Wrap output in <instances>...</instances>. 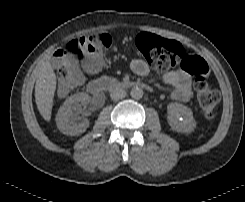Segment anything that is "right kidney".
Segmentation results:
<instances>
[{"mask_svg":"<svg viewBox=\"0 0 245 202\" xmlns=\"http://www.w3.org/2000/svg\"><path fill=\"white\" fill-rule=\"evenodd\" d=\"M90 96L81 92L68 97L56 115L58 129L65 135L78 136L89 127L86 118L78 116L83 112L82 105H87Z\"/></svg>","mask_w":245,"mask_h":202,"instance_id":"1","label":"right kidney"}]
</instances>
